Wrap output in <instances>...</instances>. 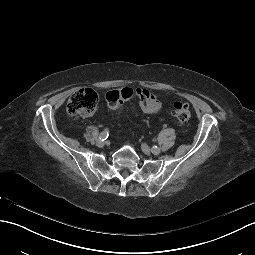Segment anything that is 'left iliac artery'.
<instances>
[{"instance_id": "1", "label": "left iliac artery", "mask_w": 255, "mask_h": 255, "mask_svg": "<svg viewBox=\"0 0 255 255\" xmlns=\"http://www.w3.org/2000/svg\"><path fill=\"white\" fill-rule=\"evenodd\" d=\"M157 149H158V147H157V146H154V147L152 148V153L155 154V152L157 151Z\"/></svg>"}]
</instances>
